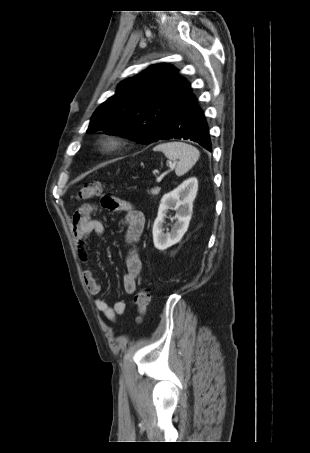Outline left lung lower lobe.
<instances>
[{
  "mask_svg": "<svg viewBox=\"0 0 310 453\" xmlns=\"http://www.w3.org/2000/svg\"><path fill=\"white\" fill-rule=\"evenodd\" d=\"M190 139L212 151L209 127L188 83L160 140Z\"/></svg>",
  "mask_w": 310,
  "mask_h": 453,
  "instance_id": "left-lung-lower-lobe-1",
  "label": "left lung lower lobe"
}]
</instances>
